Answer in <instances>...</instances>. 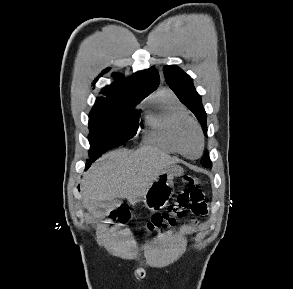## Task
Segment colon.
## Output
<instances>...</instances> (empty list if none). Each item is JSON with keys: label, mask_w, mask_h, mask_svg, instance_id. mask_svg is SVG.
<instances>
[{"label": "colon", "mask_w": 293, "mask_h": 289, "mask_svg": "<svg viewBox=\"0 0 293 289\" xmlns=\"http://www.w3.org/2000/svg\"><path fill=\"white\" fill-rule=\"evenodd\" d=\"M183 182L185 189L174 195L173 202L169 204L166 211L151 217L145 225L147 230H166L175 224L176 218L183 216L186 212L198 216H205L208 213V207L204 201V194L199 187L198 180L186 176L183 178ZM112 218L124 221L127 214L123 209H119Z\"/></svg>", "instance_id": "5ec220e1"}]
</instances>
